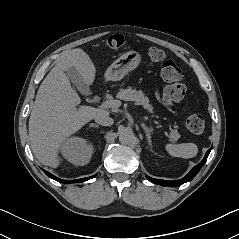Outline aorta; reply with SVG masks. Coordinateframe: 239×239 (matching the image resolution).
<instances>
[{"label":"aorta","mask_w":239,"mask_h":239,"mask_svg":"<svg viewBox=\"0 0 239 239\" xmlns=\"http://www.w3.org/2000/svg\"><path fill=\"white\" fill-rule=\"evenodd\" d=\"M119 141L121 144H131L134 141V134L131 130L125 129L119 133Z\"/></svg>","instance_id":"762f6f07"}]
</instances>
